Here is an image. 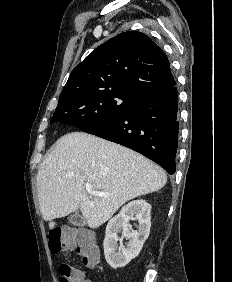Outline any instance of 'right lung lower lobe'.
<instances>
[{
  "label": "right lung lower lobe",
  "mask_w": 232,
  "mask_h": 282,
  "mask_svg": "<svg viewBox=\"0 0 232 282\" xmlns=\"http://www.w3.org/2000/svg\"><path fill=\"white\" fill-rule=\"evenodd\" d=\"M82 130L135 150L174 174L179 133L175 83L145 94L129 112Z\"/></svg>",
  "instance_id": "obj_1"
}]
</instances>
